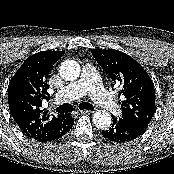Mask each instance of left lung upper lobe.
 Listing matches in <instances>:
<instances>
[{"instance_id":"5c2ea615","label":"left lung upper lobe","mask_w":174,"mask_h":174,"mask_svg":"<svg viewBox=\"0 0 174 174\" xmlns=\"http://www.w3.org/2000/svg\"><path fill=\"white\" fill-rule=\"evenodd\" d=\"M95 60L119 88L122 115L118 118L147 129L155 112V89L143 67L132 57L115 50H91ZM117 118V117H116Z\"/></svg>"}]
</instances>
